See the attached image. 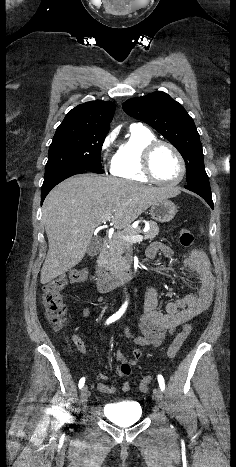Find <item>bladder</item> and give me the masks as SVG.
Instances as JSON below:
<instances>
[{
	"label": "bladder",
	"instance_id": "1",
	"mask_svg": "<svg viewBox=\"0 0 236 467\" xmlns=\"http://www.w3.org/2000/svg\"><path fill=\"white\" fill-rule=\"evenodd\" d=\"M103 414L118 425H130L140 420L142 407L135 401L109 403L105 406Z\"/></svg>",
	"mask_w": 236,
	"mask_h": 467
}]
</instances>
